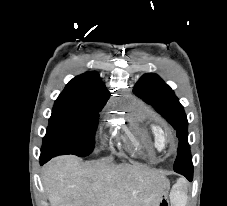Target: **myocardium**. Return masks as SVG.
Segmentation results:
<instances>
[{"instance_id":"myocardium-1","label":"myocardium","mask_w":227,"mask_h":206,"mask_svg":"<svg viewBox=\"0 0 227 206\" xmlns=\"http://www.w3.org/2000/svg\"><path fill=\"white\" fill-rule=\"evenodd\" d=\"M174 145H175L174 137L169 134H163L161 139V148L168 149L174 147Z\"/></svg>"}]
</instances>
